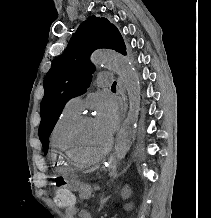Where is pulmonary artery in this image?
I'll use <instances>...</instances> for the list:
<instances>
[{"label":"pulmonary artery","instance_id":"pulmonary-artery-1","mask_svg":"<svg viewBox=\"0 0 211 218\" xmlns=\"http://www.w3.org/2000/svg\"><path fill=\"white\" fill-rule=\"evenodd\" d=\"M115 76L111 74H106L105 72H102L98 75L97 80H94L93 87H106V85L112 84V81L114 80ZM67 109L80 114L83 110V99L81 95L74 96L71 99L68 100L65 106Z\"/></svg>","mask_w":211,"mask_h":218}]
</instances>
